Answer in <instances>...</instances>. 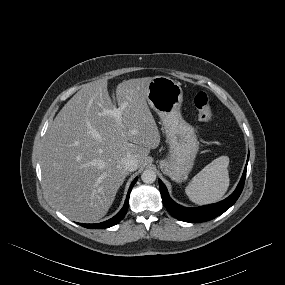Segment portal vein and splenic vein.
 Wrapping results in <instances>:
<instances>
[{"label": "portal vein and splenic vein", "instance_id": "1", "mask_svg": "<svg viewBox=\"0 0 285 285\" xmlns=\"http://www.w3.org/2000/svg\"><path fill=\"white\" fill-rule=\"evenodd\" d=\"M123 109H124V106H121L119 108H114L112 110H105L104 114L113 116L117 120V122L121 123V115H122Z\"/></svg>", "mask_w": 285, "mask_h": 285}]
</instances>
